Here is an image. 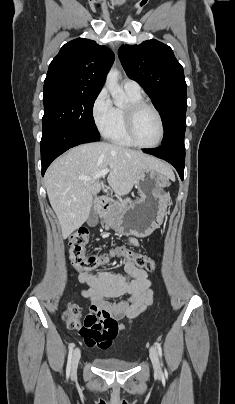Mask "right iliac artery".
<instances>
[{
    "label": "right iliac artery",
    "mask_w": 235,
    "mask_h": 404,
    "mask_svg": "<svg viewBox=\"0 0 235 404\" xmlns=\"http://www.w3.org/2000/svg\"><path fill=\"white\" fill-rule=\"evenodd\" d=\"M74 347H75L74 343H71L69 346L68 361H67V368H66L67 378L69 377L70 371H71V360H72V354H73Z\"/></svg>",
    "instance_id": "82829eb1"
}]
</instances>
